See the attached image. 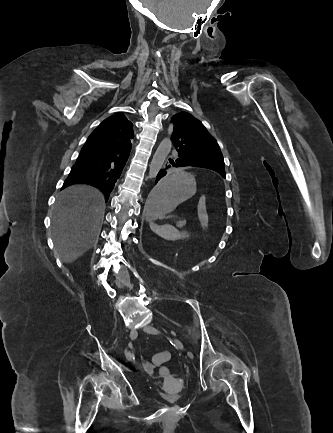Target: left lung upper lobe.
I'll return each mask as SVG.
<instances>
[{
    "label": "left lung upper lobe",
    "instance_id": "5c2ea615",
    "mask_svg": "<svg viewBox=\"0 0 333 433\" xmlns=\"http://www.w3.org/2000/svg\"><path fill=\"white\" fill-rule=\"evenodd\" d=\"M171 140L177 148V159L185 166L215 170L226 177L224 159L219 145L208 133L204 125L190 113L175 114Z\"/></svg>",
    "mask_w": 333,
    "mask_h": 433
}]
</instances>
